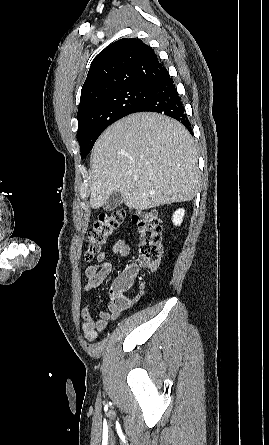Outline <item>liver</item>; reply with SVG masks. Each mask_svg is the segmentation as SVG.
<instances>
[{
	"instance_id": "6515ba94",
	"label": "liver",
	"mask_w": 269,
	"mask_h": 445,
	"mask_svg": "<svg viewBox=\"0 0 269 445\" xmlns=\"http://www.w3.org/2000/svg\"><path fill=\"white\" fill-rule=\"evenodd\" d=\"M93 209L120 191L129 208L190 201L199 186L197 151L185 127L152 112L131 114L105 130L91 153Z\"/></svg>"
}]
</instances>
